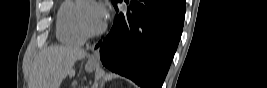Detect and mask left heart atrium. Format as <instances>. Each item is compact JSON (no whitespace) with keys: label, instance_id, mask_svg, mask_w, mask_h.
<instances>
[{"label":"left heart atrium","instance_id":"39dd6f15","mask_svg":"<svg viewBox=\"0 0 267 88\" xmlns=\"http://www.w3.org/2000/svg\"><path fill=\"white\" fill-rule=\"evenodd\" d=\"M107 17L106 9L102 4L94 5V19L99 23L103 24Z\"/></svg>","mask_w":267,"mask_h":88}]
</instances>
